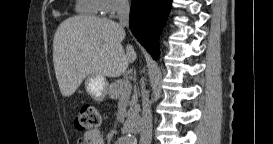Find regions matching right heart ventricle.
Here are the masks:
<instances>
[{
    "label": "right heart ventricle",
    "mask_w": 273,
    "mask_h": 144,
    "mask_svg": "<svg viewBox=\"0 0 273 144\" xmlns=\"http://www.w3.org/2000/svg\"><path fill=\"white\" fill-rule=\"evenodd\" d=\"M78 13L82 15H96L100 11L98 0H81L76 6Z\"/></svg>",
    "instance_id": "1"
}]
</instances>
